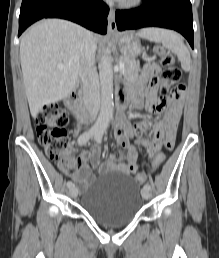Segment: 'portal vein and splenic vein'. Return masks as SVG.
I'll use <instances>...</instances> for the list:
<instances>
[{"label":"portal vein and splenic vein","instance_id":"18ae733b","mask_svg":"<svg viewBox=\"0 0 219 258\" xmlns=\"http://www.w3.org/2000/svg\"><path fill=\"white\" fill-rule=\"evenodd\" d=\"M58 68H59V69H64V66H63V65H58ZM119 68H120V70H123V69L125 68L124 63H120V64H119Z\"/></svg>","mask_w":219,"mask_h":258}]
</instances>
